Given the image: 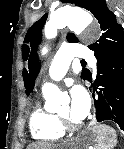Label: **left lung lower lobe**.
Masks as SVG:
<instances>
[{
  "instance_id": "left-lung-lower-lobe-1",
  "label": "left lung lower lobe",
  "mask_w": 124,
  "mask_h": 149,
  "mask_svg": "<svg viewBox=\"0 0 124 149\" xmlns=\"http://www.w3.org/2000/svg\"><path fill=\"white\" fill-rule=\"evenodd\" d=\"M93 93L97 121H114L124 131V48L97 61Z\"/></svg>"
}]
</instances>
